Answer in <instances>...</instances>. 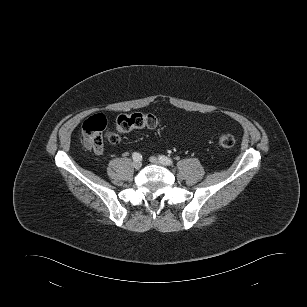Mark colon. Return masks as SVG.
Listing matches in <instances>:
<instances>
[{
    "mask_svg": "<svg viewBox=\"0 0 307 307\" xmlns=\"http://www.w3.org/2000/svg\"><path fill=\"white\" fill-rule=\"evenodd\" d=\"M106 124V118L102 114L93 115L84 121L81 134L86 147L100 152L105 139L111 144H117L123 134L133 129L156 128L159 120L151 113L120 114L115 120L114 128L104 135ZM234 144L235 138L231 134L223 133L218 138V145L223 149H229Z\"/></svg>",
    "mask_w": 307,
    "mask_h": 307,
    "instance_id": "5ec220e1",
    "label": "colon"
}]
</instances>
